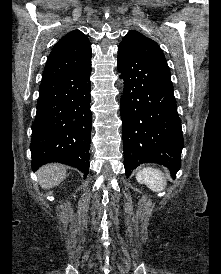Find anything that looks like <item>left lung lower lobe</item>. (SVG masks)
<instances>
[{"label":"left lung lower lobe","mask_w":221,"mask_h":274,"mask_svg":"<svg viewBox=\"0 0 221 274\" xmlns=\"http://www.w3.org/2000/svg\"><path fill=\"white\" fill-rule=\"evenodd\" d=\"M117 68L124 80L120 114L126 175L151 162L168 167L175 177L184 141L169 68L124 46L118 47Z\"/></svg>","instance_id":"left-lung-lower-lobe-1"}]
</instances>
